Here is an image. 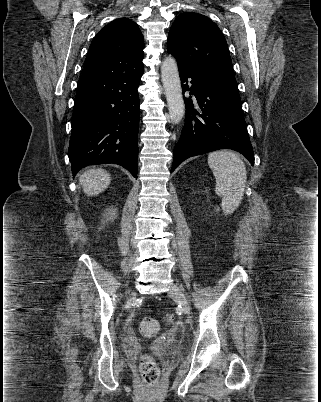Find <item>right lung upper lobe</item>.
<instances>
[{
	"instance_id": "1",
	"label": "right lung upper lobe",
	"mask_w": 321,
	"mask_h": 402,
	"mask_svg": "<svg viewBox=\"0 0 321 402\" xmlns=\"http://www.w3.org/2000/svg\"><path fill=\"white\" fill-rule=\"evenodd\" d=\"M144 38L138 25L119 18L101 29L92 41L81 79L130 74L143 70Z\"/></svg>"
}]
</instances>
